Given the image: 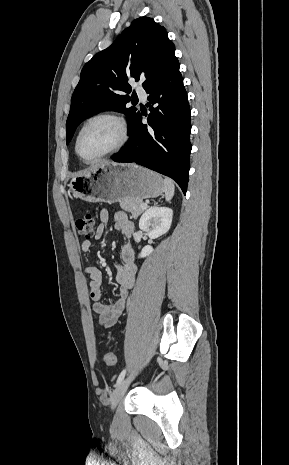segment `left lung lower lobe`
Instances as JSON below:
<instances>
[{"instance_id":"left-lung-lower-lobe-1","label":"left lung lower lobe","mask_w":289,"mask_h":465,"mask_svg":"<svg viewBox=\"0 0 289 465\" xmlns=\"http://www.w3.org/2000/svg\"><path fill=\"white\" fill-rule=\"evenodd\" d=\"M151 113L148 124L142 114L131 125L125 148L113 154L115 162H135L175 180L186 193L191 144L190 108L179 66L145 89Z\"/></svg>"}]
</instances>
